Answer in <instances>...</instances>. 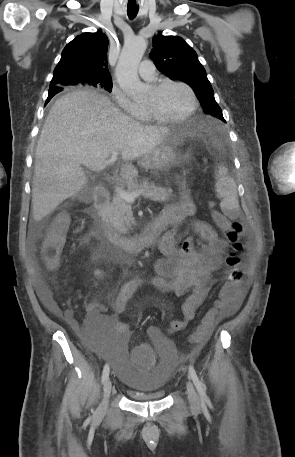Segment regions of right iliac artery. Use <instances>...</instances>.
Wrapping results in <instances>:
<instances>
[{"label": "right iliac artery", "instance_id": "obj_1", "mask_svg": "<svg viewBox=\"0 0 295 457\" xmlns=\"http://www.w3.org/2000/svg\"><path fill=\"white\" fill-rule=\"evenodd\" d=\"M108 376H109V366H108V364H106L103 368L102 382H105V380L108 378Z\"/></svg>", "mask_w": 295, "mask_h": 457}]
</instances>
